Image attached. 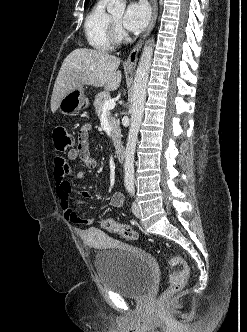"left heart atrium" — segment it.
I'll list each match as a JSON object with an SVG mask.
<instances>
[{"instance_id": "1", "label": "left heart atrium", "mask_w": 247, "mask_h": 332, "mask_svg": "<svg viewBox=\"0 0 247 332\" xmlns=\"http://www.w3.org/2000/svg\"><path fill=\"white\" fill-rule=\"evenodd\" d=\"M150 18V9L144 0L132 2L126 9L122 26L130 32L144 29Z\"/></svg>"}]
</instances>
